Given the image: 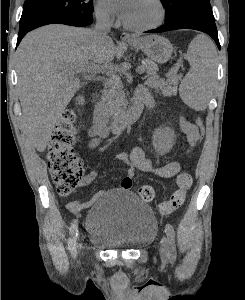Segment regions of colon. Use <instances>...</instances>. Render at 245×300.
<instances>
[{"mask_svg":"<svg viewBox=\"0 0 245 300\" xmlns=\"http://www.w3.org/2000/svg\"><path fill=\"white\" fill-rule=\"evenodd\" d=\"M75 123L76 114L74 110H65L48 143L49 172L60 195L72 193L82 184L84 179L82 161L73 150L76 133ZM196 123L200 134H203L204 125L202 121L198 119ZM192 181V176L187 172H182L177 177V189L167 201L160 205L162 214H171L182 206ZM154 194L153 187L149 185H143L138 189V196L144 202H150L154 198Z\"/></svg>","mask_w":245,"mask_h":300,"instance_id":"colon-1","label":"colon"}]
</instances>
